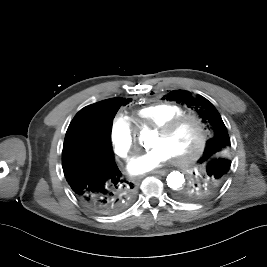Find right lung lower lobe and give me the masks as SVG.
<instances>
[{
  "label": "right lung lower lobe",
  "instance_id": "obj_1",
  "mask_svg": "<svg viewBox=\"0 0 267 267\" xmlns=\"http://www.w3.org/2000/svg\"><path fill=\"white\" fill-rule=\"evenodd\" d=\"M102 127L101 118L77 121L65 136L62 167L82 203L100 214L112 215L124 211L134 201L136 188L123 176L113 157L97 152Z\"/></svg>",
  "mask_w": 267,
  "mask_h": 267
}]
</instances>
